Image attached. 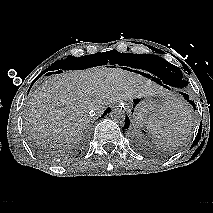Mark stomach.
I'll return each mask as SVG.
<instances>
[{"mask_svg":"<svg viewBox=\"0 0 213 213\" xmlns=\"http://www.w3.org/2000/svg\"><path fill=\"white\" fill-rule=\"evenodd\" d=\"M166 109V105L156 97L134 98L129 103L132 120L137 126H150L157 115Z\"/></svg>","mask_w":213,"mask_h":213,"instance_id":"stomach-1","label":"stomach"}]
</instances>
